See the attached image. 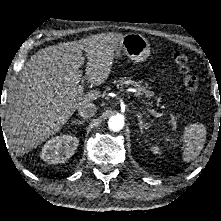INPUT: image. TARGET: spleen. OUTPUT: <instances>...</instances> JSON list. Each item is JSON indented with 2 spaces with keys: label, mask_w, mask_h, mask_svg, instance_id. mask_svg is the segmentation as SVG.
<instances>
[{
  "label": "spleen",
  "mask_w": 221,
  "mask_h": 221,
  "mask_svg": "<svg viewBox=\"0 0 221 221\" xmlns=\"http://www.w3.org/2000/svg\"><path fill=\"white\" fill-rule=\"evenodd\" d=\"M206 139V127L201 123H194L186 127L182 142V158L185 162L195 160L203 149ZM165 141H170L169 136L164 137Z\"/></svg>",
  "instance_id": "1"
}]
</instances>
